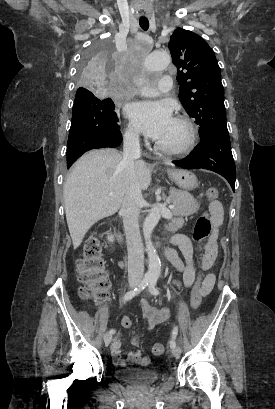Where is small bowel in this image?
<instances>
[{"mask_svg": "<svg viewBox=\"0 0 275 409\" xmlns=\"http://www.w3.org/2000/svg\"><path fill=\"white\" fill-rule=\"evenodd\" d=\"M209 210L212 218L213 229L211 235L204 247V252L201 257L200 267L202 270H209L216 259L217 256V236L219 228L223 221V210L220 203L209 204ZM172 244L176 245L184 261L181 260L177 252L168 248L166 250V256L173 267L182 274V286L184 288H190L195 281V269L193 266V245L190 239L183 234H175L171 240ZM215 284V276L213 274H208L203 282L206 294H208ZM175 285V284H173ZM138 310L144 319V327L146 329H154L158 324L165 322L169 317V310L165 307L158 308L148 303L147 301H140L138 304ZM121 325L123 328H131L133 322L129 317L122 318ZM135 342H140V334H136ZM111 355L114 363L117 366L124 367L129 364L140 363L141 365H148L150 360L148 357H141L139 352H132L127 355V357L121 356V343L118 338L114 339L111 345Z\"/></svg>", "mask_w": 275, "mask_h": 409, "instance_id": "obj_1", "label": "small bowel"}]
</instances>
